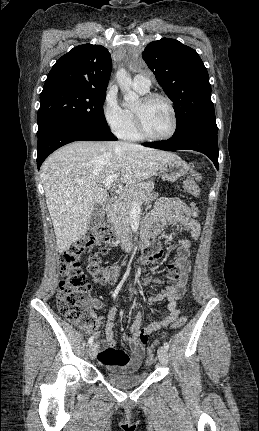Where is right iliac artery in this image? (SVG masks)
Listing matches in <instances>:
<instances>
[{"label":"right iliac artery","instance_id":"82829eb1","mask_svg":"<svg viewBox=\"0 0 259 431\" xmlns=\"http://www.w3.org/2000/svg\"><path fill=\"white\" fill-rule=\"evenodd\" d=\"M93 341H94V337H93V336H91V337L89 338V340H88V344H89V345H91V344L93 343Z\"/></svg>","mask_w":259,"mask_h":431}]
</instances>
